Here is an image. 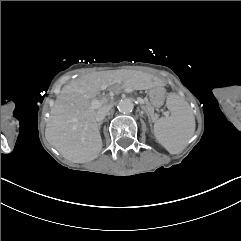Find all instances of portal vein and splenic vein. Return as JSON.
I'll return each mask as SVG.
<instances>
[{"label":"portal vein and splenic vein","instance_id":"portal-vein-and-splenic-vein-1","mask_svg":"<svg viewBox=\"0 0 241 241\" xmlns=\"http://www.w3.org/2000/svg\"><path fill=\"white\" fill-rule=\"evenodd\" d=\"M136 100H137V102L140 103V104H146V99H143V98L140 97V96L137 97ZM92 105H93L94 107H96V108L101 106L99 100H97V99L93 100Z\"/></svg>","mask_w":241,"mask_h":241}]
</instances>
